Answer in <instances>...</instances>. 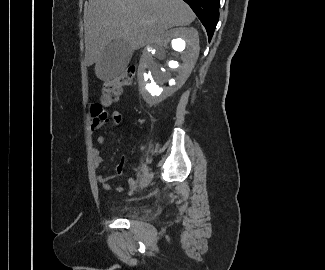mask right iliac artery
Returning a JSON list of instances; mask_svg holds the SVG:
<instances>
[{
    "label": "right iliac artery",
    "instance_id": "right-iliac-artery-1",
    "mask_svg": "<svg viewBox=\"0 0 325 270\" xmlns=\"http://www.w3.org/2000/svg\"><path fill=\"white\" fill-rule=\"evenodd\" d=\"M142 171H143V175H144V176L148 174V167H147L146 164H143V165H142Z\"/></svg>",
    "mask_w": 325,
    "mask_h": 270
}]
</instances>
